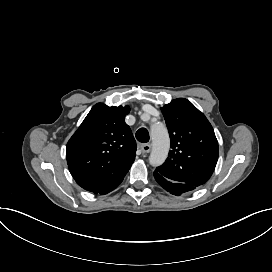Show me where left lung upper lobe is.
I'll return each instance as SVG.
<instances>
[{"instance_id": "obj_1", "label": "left lung upper lobe", "mask_w": 272, "mask_h": 272, "mask_svg": "<svg viewBox=\"0 0 272 272\" xmlns=\"http://www.w3.org/2000/svg\"><path fill=\"white\" fill-rule=\"evenodd\" d=\"M171 148L163 165L156 168L165 178L194 187L203 185L212 175L219 154L214 130L190 101L172 100L161 108Z\"/></svg>"}]
</instances>
